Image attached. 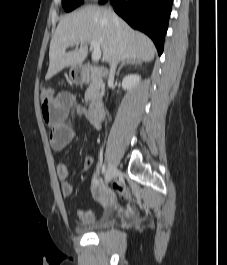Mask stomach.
<instances>
[{
    "label": "stomach",
    "instance_id": "obj_1",
    "mask_svg": "<svg viewBox=\"0 0 227 265\" xmlns=\"http://www.w3.org/2000/svg\"><path fill=\"white\" fill-rule=\"evenodd\" d=\"M69 77L74 83H80L83 80L82 75H80V71L78 67H72L69 71Z\"/></svg>",
    "mask_w": 227,
    "mask_h": 265
}]
</instances>
